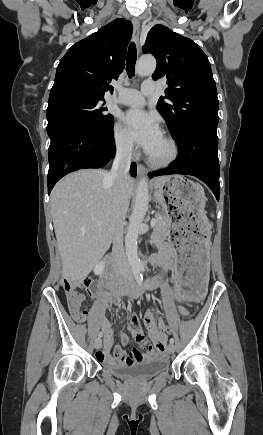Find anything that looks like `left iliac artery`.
Returning <instances> with one entry per match:
<instances>
[{
	"mask_svg": "<svg viewBox=\"0 0 263 435\" xmlns=\"http://www.w3.org/2000/svg\"><path fill=\"white\" fill-rule=\"evenodd\" d=\"M140 269H141V271H144V270H145L143 265L140 267ZM170 343H171V344L174 343V339H173V338L170 339Z\"/></svg>",
	"mask_w": 263,
	"mask_h": 435,
	"instance_id": "1",
	"label": "left iliac artery"
}]
</instances>
